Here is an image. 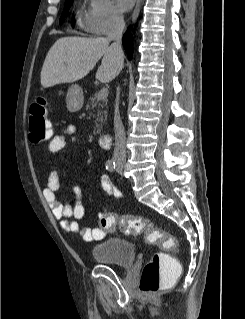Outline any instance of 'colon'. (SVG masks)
Returning a JSON list of instances; mask_svg holds the SVG:
<instances>
[{
    "mask_svg": "<svg viewBox=\"0 0 245 319\" xmlns=\"http://www.w3.org/2000/svg\"><path fill=\"white\" fill-rule=\"evenodd\" d=\"M47 111L48 103L44 97L37 98L30 107L29 138L34 144L46 141L51 135ZM99 223L101 228L109 232L120 230L126 235L144 234L149 243L159 245L166 251L177 248L175 237L166 235L155 223L142 217L130 214L116 216L111 212H102ZM180 272V265L174 263L166 253H155L142 270L140 291L145 294L156 293Z\"/></svg>",
    "mask_w": 245,
    "mask_h": 319,
    "instance_id": "colon-1",
    "label": "colon"
}]
</instances>
